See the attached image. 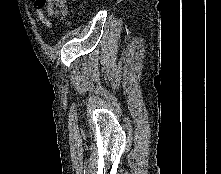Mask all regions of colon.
Returning a JSON list of instances; mask_svg holds the SVG:
<instances>
[{"label":"colon","mask_w":221,"mask_h":174,"mask_svg":"<svg viewBox=\"0 0 221 174\" xmlns=\"http://www.w3.org/2000/svg\"><path fill=\"white\" fill-rule=\"evenodd\" d=\"M36 4L45 9L49 19H59L61 16L60 7L65 0H35Z\"/></svg>","instance_id":"5ec220e1"}]
</instances>
